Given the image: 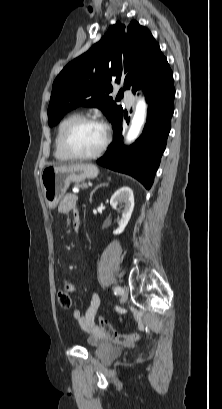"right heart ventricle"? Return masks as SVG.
Returning a JSON list of instances; mask_svg holds the SVG:
<instances>
[{
  "mask_svg": "<svg viewBox=\"0 0 222 409\" xmlns=\"http://www.w3.org/2000/svg\"><path fill=\"white\" fill-rule=\"evenodd\" d=\"M82 115L80 112H72L66 115L58 124L55 140H54V156L59 161H68L70 158L64 153L62 149V137L65 130L71 125L74 121L81 118Z\"/></svg>",
  "mask_w": 222,
  "mask_h": 409,
  "instance_id": "right-heart-ventricle-1",
  "label": "right heart ventricle"
}]
</instances>
